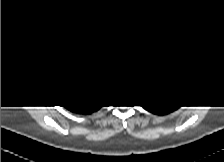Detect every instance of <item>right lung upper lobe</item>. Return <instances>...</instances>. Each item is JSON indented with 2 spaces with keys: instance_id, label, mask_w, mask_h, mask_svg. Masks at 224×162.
<instances>
[{
  "instance_id": "1",
  "label": "right lung upper lobe",
  "mask_w": 224,
  "mask_h": 162,
  "mask_svg": "<svg viewBox=\"0 0 224 162\" xmlns=\"http://www.w3.org/2000/svg\"><path fill=\"white\" fill-rule=\"evenodd\" d=\"M80 90L63 86L59 89V101L62 105L68 107L71 104L78 103Z\"/></svg>"
}]
</instances>
